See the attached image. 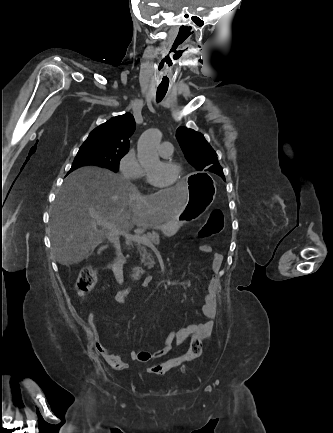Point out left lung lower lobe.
I'll use <instances>...</instances> for the list:
<instances>
[{"label": "left lung lower lobe", "mask_w": 333, "mask_h": 433, "mask_svg": "<svg viewBox=\"0 0 333 433\" xmlns=\"http://www.w3.org/2000/svg\"><path fill=\"white\" fill-rule=\"evenodd\" d=\"M220 176H221L223 179H225V178H224V174H221Z\"/></svg>", "instance_id": "obj_1"}]
</instances>
